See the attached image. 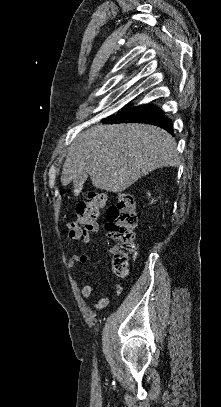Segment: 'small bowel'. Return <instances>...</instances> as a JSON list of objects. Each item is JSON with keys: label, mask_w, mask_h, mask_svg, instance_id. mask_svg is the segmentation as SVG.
Returning <instances> with one entry per match:
<instances>
[{"label": "small bowel", "mask_w": 221, "mask_h": 407, "mask_svg": "<svg viewBox=\"0 0 221 407\" xmlns=\"http://www.w3.org/2000/svg\"><path fill=\"white\" fill-rule=\"evenodd\" d=\"M100 230L99 226L96 230V232H98ZM90 238H84L82 239L83 242L87 243L89 242ZM89 261V256L87 254H71L68 258L67 261V268L69 270H74L76 268L77 265L79 264H85ZM114 290H115V295L118 296L121 294L123 287L120 283H116L114 286ZM93 292V286L90 283V281L86 278L83 279V285L80 288V295L83 299H87L90 297V295ZM109 298H108V293H107V288L104 287L102 290V293L99 297L98 302L95 304L94 308L99 310L102 309L103 307H105L108 304Z\"/></svg>", "instance_id": "obj_1"}]
</instances>
